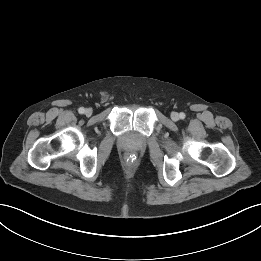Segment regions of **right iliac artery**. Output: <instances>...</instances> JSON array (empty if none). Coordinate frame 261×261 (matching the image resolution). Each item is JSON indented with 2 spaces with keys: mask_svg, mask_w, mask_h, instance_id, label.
<instances>
[{
  "mask_svg": "<svg viewBox=\"0 0 261 261\" xmlns=\"http://www.w3.org/2000/svg\"><path fill=\"white\" fill-rule=\"evenodd\" d=\"M78 112H79L80 114H83V113L85 112V109H84L83 107H80V108L78 109Z\"/></svg>",
  "mask_w": 261,
  "mask_h": 261,
  "instance_id": "82829eb1",
  "label": "right iliac artery"
}]
</instances>
